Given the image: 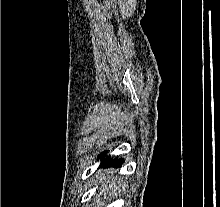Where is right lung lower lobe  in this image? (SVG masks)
Returning a JSON list of instances; mask_svg holds the SVG:
<instances>
[{
  "label": "right lung lower lobe",
  "mask_w": 220,
  "mask_h": 207,
  "mask_svg": "<svg viewBox=\"0 0 220 207\" xmlns=\"http://www.w3.org/2000/svg\"><path fill=\"white\" fill-rule=\"evenodd\" d=\"M106 152H103L100 154V158H104V154ZM123 163V159H116V160H111L109 158H105L103 159L102 163H101V166H110V165H113V166H120L121 164Z\"/></svg>",
  "instance_id": "obj_1"
}]
</instances>
